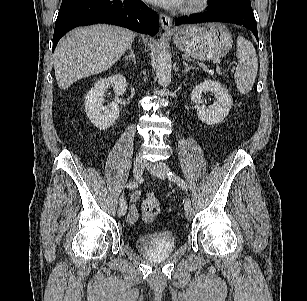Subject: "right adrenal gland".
Instances as JSON below:
<instances>
[{"label": "right adrenal gland", "mask_w": 307, "mask_h": 301, "mask_svg": "<svg viewBox=\"0 0 307 301\" xmlns=\"http://www.w3.org/2000/svg\"><path fill=\"white\" fill-rule=\"evenodd\" d=\"M129 50H130V55H126L125 60H132L134 64H136V58H135L134 51L132 49V45L129 46Z\"/></svg>", "instance_id": "2a0ac1e0"}]
</instances>
